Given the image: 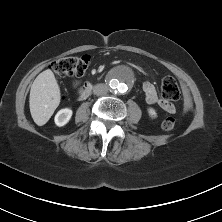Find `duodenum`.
Masks as SVG:
<instances>
[{
  "instance_id": "1",
  "label": "duodenum",
  "mask_w": 222,
  "mask_h": 222,
  "mask_svg": "<svg viewBox=\"0 0 222 222\" xmlns=\"http://www.w3.org/2000/svg\"><path fill=\"white\" fill-rule=\"evenodd\" d=\"M92 88H93V85L91 83L89 82L85 83L79 91L78 99L79 100L86 99L89 96L90 92L92 91Z\"/></svg>"
}]
</instances>
